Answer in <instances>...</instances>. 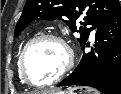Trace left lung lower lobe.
I'll return each instance as SVG.
<instances>
[{"label":"left lung lower lobe","instance_id":"0a47b994","mask_svg":"<svg viewBox=\"0 0 121 94\" xmlns=\"http://www.w3.org/2000/svg\"><path fill=\"white\" fill-rule=\"evenodd\" d=\"M95 41L94 50L84 53L76 69L57 86L84 85L104 94H121V11L97 27Z\"/></svg>","mask_w":121,"mask_h":94}]
</instances>
